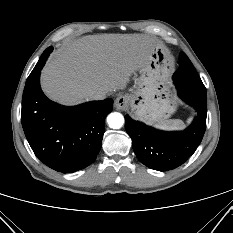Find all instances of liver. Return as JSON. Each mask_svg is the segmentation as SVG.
Listing matches in <instances>:
<instances>
[{"label": "liver", "instance_id": "1", "mask_svg": "<svg viewBox=\"0 0 233 233\" xmlns=\"http://www.w3.org/2000/svg\"><path fill=\"white\" fill-rule=\"evenodd\" d=\"M156 46L144 34L88 35L56 50L41 73V87L53 101L75 105L127 87L133 73L151 59Z\"/></svg>", "mask_w": 233, "mask_h": 233}]
</instances>
